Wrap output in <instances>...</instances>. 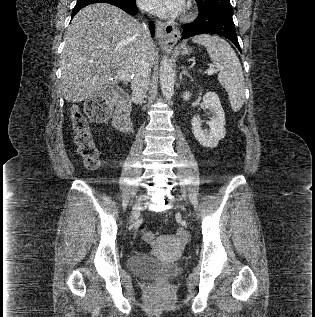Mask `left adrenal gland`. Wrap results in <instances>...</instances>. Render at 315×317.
I'll list each match as a JSON object with an SVG mask.
<instances>
[{
  "mask_svg": "<svg viewBox=\"0 0 315 317\" xmlns=\"http://www.w3.org/2000/svg\"><path fill=\"white\" fill-rule=\"evenodd\" d=\"M181 69H182V71H181V73H180V75H179V79H180V80L182 79V75H186V76H188V77L191 79V81H193V78H192L191 75L188 73L187 69H186L184 66H182Z\"/></svg>",
  "mask_w": 315,
  "mask_h": 317,
  "instance_id": "1",
  "label": "left adrenal gland"
}]
</instances>
